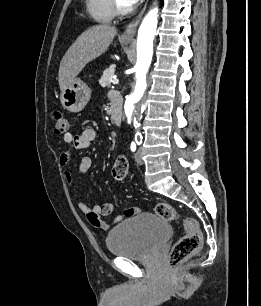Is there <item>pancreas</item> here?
Returning <instances> with one entry per match:
<instances>
[{
	"instance_id": "pancreas-1",
	"label": "pancreas",
	"mask_w": 261,
	"mask_h": 306,
	"mask_svg": "<svg viewBox=\"0 0 261 306\" xmlns=\"http://www.w3.org/2000/svg\"><path fill=\"white\" fill-rule=\"evenodd\" d=\"M114 73H115V65H111L109 68L105 69L102 76L99 79V84L102 87L110 86L113 80Z\"/></svg>"
}]
</instances>
